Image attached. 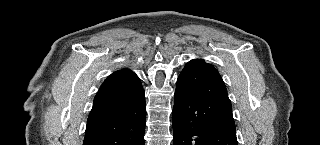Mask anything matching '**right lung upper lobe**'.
<instances>
[{
  "mask_svg": "<svg viewBox=\"0 0 320 145\" xmlns=\"http://www.w3.org/2000/svg\"><path fill=\"white\" fill-rule=\"evenodd\" d=\"M134 76H136V74H134L131 70L126 69V68L119 70V71H116V72L112 73L110 76H108L106 78V80L104 81V83L102 84V86L100 87L97 95L95 96L94 105H93L92 109L100 106L99 105L100 102L108 100V98H106V96L110 95V93L104 91V89L107 86L114 84L116 82H120L122 80H125L127 78L134 77Z\"/></svg>",
  "mask_w": 320,
  "mask_h": 145,
  "instance_id": "1",
  "label": "right lung upper lobe"
}]
</instances>
